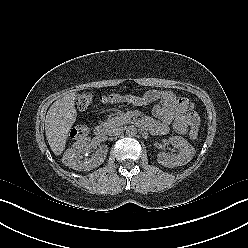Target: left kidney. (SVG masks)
I'll return each instance as SVG.
<instances>
[{"mask_svg":"<svg viewBox=\"0 0 248 248\" xmlns=\"http://www.w3.org/2000/svg\"><path fill=\"white\" fill-rule=\"evenodd\" d=\"M169 143L179 149L178 154L160 152L158 162L165 167H177L187 164L195 155L194 147L181 136H172Z\"/></svg>","mask_w":248,"mask_h":248,"instance_id":"left-kidney-1","label":"left kidney"}]
</instances>
